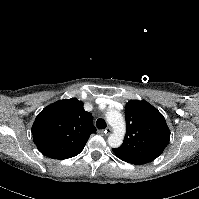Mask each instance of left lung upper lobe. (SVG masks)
I'll use <instances>...</instances> for the list:
<instances>
[{"instance_id": "5c2ea615", "label": "left lung upper lobe", "mask_w": 199, "mask_h": 199, "mask_svg": "<svg viewBox=\"0 0 199 199\" xmlns=\"http://www.w3.org/2000/svg\"><path fill=\"white\" fill-rule=\"evenodd\" d=\"M125 117L127 129L123 144L113 152L141 163L156 159L170 140L163 115L144 100H130L125 107Z\"/></svg>"}]
</instances>
